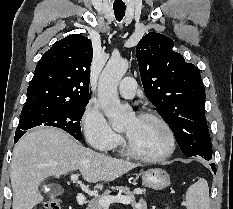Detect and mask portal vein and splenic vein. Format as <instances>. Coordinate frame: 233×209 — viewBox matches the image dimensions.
I'll list each match as a JSON object with an SVG mask.
<instances>
[{"instance_id":"portal-vein-and-splenic-vein-1","label":"portal vein and splenic vein","mask_w":233,"mask_h":209,"mask_svg":"<svg viewBox=\"0 0 233 209\" xmlns=\"http://www.w3.org/2000/svg\"><path fill=\"white\" fill-rule=\"evenodd\" d=\"M71 180L73 181L78 180V176L76 174H72ZM112 203H121V204L129 205L131 203V199L125 196H108L99 199V204L105 209H108L110 204Z\"/></svg>"}]
</instances>
